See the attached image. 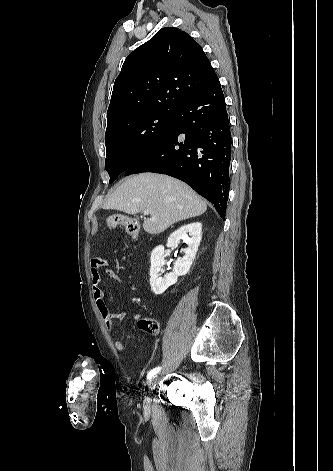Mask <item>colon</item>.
Listing matches in <instances>:
<instances>
[{
	"label": "colon",
	"mask_w": 333,
	"mask_h": 471,
	"mask_svg": "<svg viewBox=\"0 0 333 471\" xmlns=\"http://www.w3.org/2000/svg\"><path fill=\"white\" fill-rule=\"evenodd\" d=\"M106 226L109 229L123 226L125 231L133 238L136 239L139 233V224L137 220L124 216V215H112L107 218ZM139 327L150 334H157L159 331V325L156 320L152 318H143L138 322Z\"/></svg>",
	"instance_id": "5ec220e1"
}]
</instances>
